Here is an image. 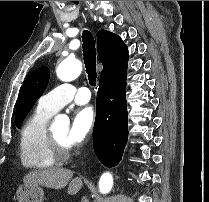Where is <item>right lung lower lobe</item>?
Segmentation results:
<instances>
[{"label":"right lung lower lobe","instance_id":"obj_1","mask_svg":"<svg viewBox=\"0 0 209 202\" xmlns=\"http://www.w3.org/2000/svg\"><path fill=\"white\" fill-rule=\"evenodd\" d=\"M126 83L99 84L93 146L97 158L107 167L118 165L128 140Z\"/></svg>","mask_w":209,"mask_h":202}]
</instances>
